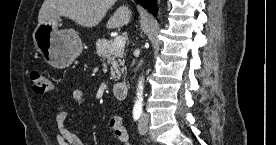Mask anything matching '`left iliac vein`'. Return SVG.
<instances>
[{
  "instance_id": "4c4485c4",
  "label": "left iliac vein",
  "mask_w": 276,
  "mask_h": 145,
  "mask_svg": "<svg viewBox=\"0 0 276 145\" xmlns=\"http://www.w3.org/2000/svg\"><path fill=\"white\" fill-rule=\"evenodd\" d=\"M148 120H149L148 115L143 114L140 121H139L138 130H139V133L142 134V135L146 134V132H147Z\"/></svg>"
}]
</instances>
